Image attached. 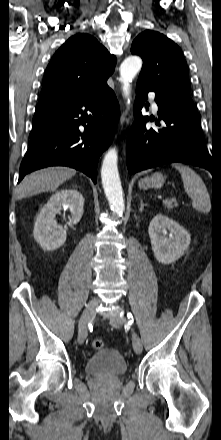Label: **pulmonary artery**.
Listing matches in <instances>:
<instances>
[{
    "label": "pulmonary artery",
    "instance_id": "pulmonary-artery-1",
    "mask_svg": "<svg viewBox=\"0 0 221 440\" xmlns=\"http://www.w3.org/2000/svg\"><path fill=\"white\" fill-rule=\"evenodd\" d=\"M152 98V108L154 111H158V105L157 103L154 101L153 95L150 96Z\"/></svg>",
    "mask_w": 221,
    "mask_h": 440
}]
</instances>
